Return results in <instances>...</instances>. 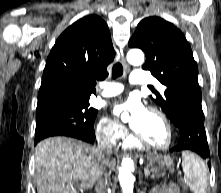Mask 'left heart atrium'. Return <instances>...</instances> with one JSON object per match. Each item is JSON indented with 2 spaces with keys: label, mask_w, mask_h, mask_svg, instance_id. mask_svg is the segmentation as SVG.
I'll return each mask as SVG.
<instances>
[{
  "label": "left heart atrium",
  "mask_w": 221,
  "mask_h": 193,
  "mask_svg": "<svg viewBox=\"0 0 221 193\" xmlns=\"http://www.w3.org/2000/svg\"><path fill=\"white\" fill-rule=\"evenodd\" d=\"M113 111L116 115H120L124 112L128 113L130 115V124L133 128L140 123L147 113L144 104L135 96H131L116 104Z\"/></svg>",
  "instance_id": "1"
}]
</instances>
